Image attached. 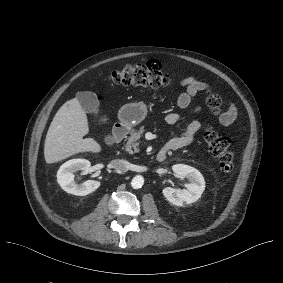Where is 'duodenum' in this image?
Instances as JSON below:
<instances>
[{
	"label": "duodenum",
	"mask_w": 283,
	"mask_h": 283,
	"mask_svg": "<svg viewBox=\"0 0 283 283\" xmlns=\"http://www.w3.org/2000/svg\"><path fill=\"white\" fill-rule=\"evenodd\" d=\"M127 133H128V126L125 123L120 122V123L115 124L113 131H112L113 142L115 144L120 143L125 138ZM167 151L168 149L166 147L160 149L156 154V159L159 162L164 161L167 156Z\"/></svg>",
	"instance_id": "obj_1"
}]
</instances>
